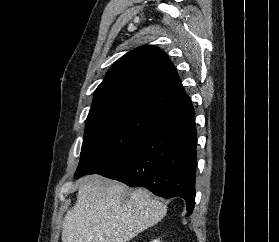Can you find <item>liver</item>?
<instances>
[{"mask_svg": "<svg viewBox=\"0 0 279 242\" xmlns=\"http://www.w3.org/2000/svg\"><path fill=\"white\" fill-rule=\"evenodd\" d=\"M167 206L149 191H128L117 181L100 176L83 180L76 204L63 222L62 242H128L157 224Z\"/></svg>", "mask_w": 279, "mask_h": 242, "instance_id": "6515ba94", "label": "liver"}]
</instances>
